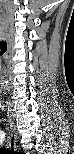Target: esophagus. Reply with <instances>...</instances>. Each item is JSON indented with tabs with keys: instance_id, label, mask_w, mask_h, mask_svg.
<instances>
[{
	"instance_id": "34e87169",
	"label": "esophagus",
	"mask_w": 74,
	"mask_h": 154,
	"mask_svg": "<svg viewBox=\"0 0 74 154\" xmlns=\"http://www.w3.org/2000/svg\"><path fill=\"white\" fill-rule=\"evenodd\" d=\"M14 129L11 131L10 137L8 139V143L10 146H15L16 134H14Z\"/></svg>"
}]
</instances>
